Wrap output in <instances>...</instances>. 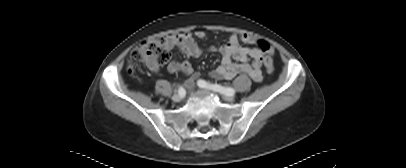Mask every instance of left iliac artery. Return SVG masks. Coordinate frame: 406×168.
<instances>
[{"mask_svg": "<svg viewBox=\"0 0 406 168\" xmlns=\"http://www.w3.org/2000/svg\"><path fill=\"white\" fill-rule=\"evenodd\" d=\"M197 84L201 88L211 89L215 92H219L224 95H234L235 94V90L231 87H223L219 84H212V83L206 82L205 80H202V79L198 80Z\"/></svg>", "mask_w": 406, "mask_h": 168, "instance_id": "left-iliac-artery-1", "label": "left iliac artery"}]
</instances>
